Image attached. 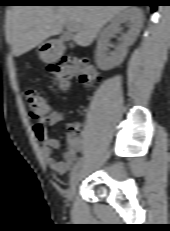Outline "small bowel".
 Masks as SVG:
<instances>
[{
  "label": "small bowel",
  "instance_id": "small-bowel-1",
  "mask_svg": "<svg viewBox=\"0 0 170 231\" xmlns=\"http://www.w3.org/2000/svg\"><path fill=\"white\" fill-rule=\"evenodd\" d=\"M66 115L62 112L52 111L48 115L41 117L33 126V131L37 139L41 142V154L44 162L53 172L64 175L76 164L77 154L83 148V140L79 138L69 144L64 153L63 161H58L52 156V150L59 147V141L49 136L47 126H55L66 120Z\"/></svg>",
  "mask_w": 170,
  "mask_h": 231
}]
</instances>
